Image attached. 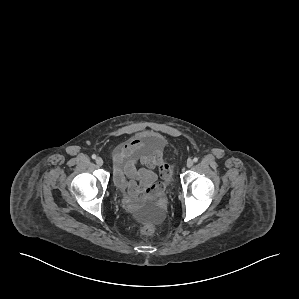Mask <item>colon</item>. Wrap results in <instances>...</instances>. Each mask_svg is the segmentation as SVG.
<instances>
[{
	"mask_svg": "<svg viewBox=\"0 0 299 299\" xmlns=\"http://www.w3.org/2000/svg\"><path fill=\"white\" fill-rule=\"evenodd\" d=\"M156 230L157 228L154 224L148 223L142 228V233L144 235L151 236L156 233Z\"/></svg>",
	"mask_w": 299,
	"mask_h": 299,
	"instance_id": "obj_1",
	"label": "colon"
}]
</instances>
